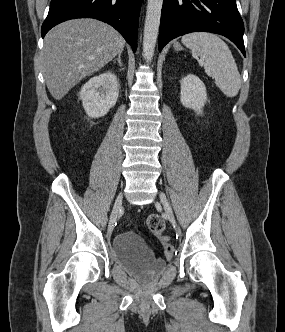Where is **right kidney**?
Masks as SVG:
<instances>
[{
  "instance_id": "right-kidney-1",
  "label": "right kidney",
  "mask_w": 285,
  "mask_h": 332,
  "mask_svg": "<svg viewBox=\"0 0 285 332\" xmlns=\"http://www.w3.org/2000/svg\"><path fill=\"white\" fill-rule=\"evenodd\" d=\"M117 77L110 71L92 77L79 92L86 114L91 118L105 116L118 100Z\"/></svg>"
}]
</instances>
